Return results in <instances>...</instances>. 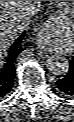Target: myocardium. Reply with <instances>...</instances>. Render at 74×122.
Instances as JSON below:
<instances>
[{
    "instance_id": "obj_1",
    "label": "myocardium",
    "mask_w": 74,
    "mask_h": 122,
    "mask_svg": "<svg viewBox=\"0 0 74 122\" xmlns=\"http://www.w3.org/2000/svg\"><path fill=\"white\" fill-rule=\"evenodd\" d=\"M74 5V1L73 2H71V6H73Z\"/></svg>"
}]
</instances>
